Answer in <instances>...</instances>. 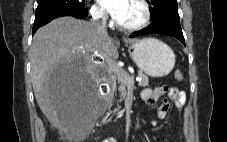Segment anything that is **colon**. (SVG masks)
Segmentation results:
<instances>
[{"mask_svg":"<svg viewBox=\"0 0 227 142\" xmlns=\"http://www.w3.org/2000/svg\"><path fill=\"white\" fill-rule=\"evenodd\" d=\"M182 77H183V75H182L181 71H176V72H175V78H176L177 80H181Z\"/></svg>","mask_w":227,"mask_h":142,"instance_id":"colon-1","label":"colon"}]
</instances>
